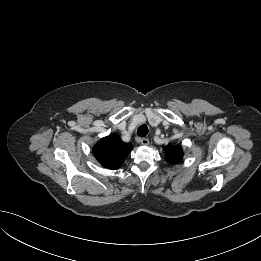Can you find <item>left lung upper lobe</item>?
I'll use <instances>...</instances> for the list:
<instances>
[{
	"instance_id": "obj_1",
	"label": "left lung upper lobe",
	"mask_w": 261,
	"mask_h": 261,
	"mask_svg": "<svg viewBox=\"0 0 261 261\" xmlns=\"http://www.w3.org/2000/svg\"><path fill=\"white\" fill-rule=\"evenodd\" d=\"M166 158L165 160L171 164H176L182 160L183 150L180 145L175 147L167 145L165 148Z\"/></svg>"
}]
</instances>
